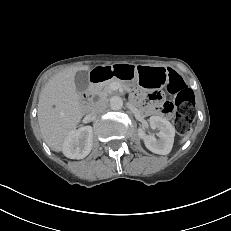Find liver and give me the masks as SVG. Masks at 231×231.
Wrapping results in <instances>:
<instances>
[{
  "label": "liver",
  "instance_id": "6515ba94",
  "mask_svg": "<svg viewBox=\"0 0 231 231\" xmlns=\"http://www.w3.org/2000/svg\"><path fill=\"white\" fill-rule=\"evenodd\" d=\"M87 69V66L70 67L57 73L39 96L40 130L47 145L55 152L63 150L66 137L84 115L74 78L78 71Z\"/></svg>",
  "mask_w": 231,
  "mask_h": 231
}]
</instances>
